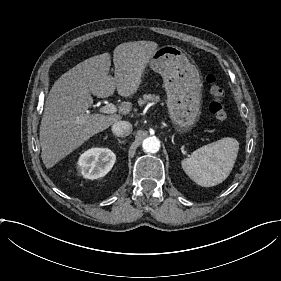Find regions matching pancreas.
I'll return each mask as SVG.
<instances>
[{"mask_svg": "<svg viewBox=\"0 0 281 281\" xmlns=\"http://www.w3.org/2000/svg\"><path fill=\"white\" fill-rule=\"evenodd\" d=\"M152 102H160V95L143 94L142 98L138 99V104L140 106L144 104H150Z\"/></svg>", "mask_w": 281, "mask_h": 281, "instance_id": "1", "label": "pancreas"}]
</instances>
